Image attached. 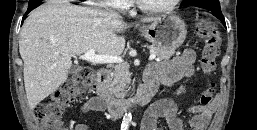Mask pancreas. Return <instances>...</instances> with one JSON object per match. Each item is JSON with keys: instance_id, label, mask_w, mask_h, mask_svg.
I'll list each match as a JSON object with an SVG mask.
<instances>
[{"instance_id": "1", "label": "pancreas", "mask_w": 257, "mask_h": 130, "mask_svg": "<svg viewBox=\"0 0 257 130\" xmlns=\"http://www.w3.org/2000/svg\"><path fill=\"white\" fill-rule=\"evenodd\" d=\"M148 48L155 53L157 60H169L175 54L174 49H166L154 45ZM108 81L109 91L117 98L123 97L126 86L130 83L129 67L125 64L115 66Z\"/></svg>"}]
</instances>
